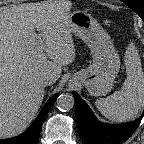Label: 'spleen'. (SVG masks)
I'll return each instance as SVG.
<instances>
[{
  "mask_svg": "<svg viewBox=\"0 0 144 144\" xmlns=\"http://www.w3.org/2000/svg\"><path fill=\"white\" fill-rule=\"evenodd\" d=\"M126 73L121 90L95 102L100 113L113 122L134 118L144 106V76L137 56L127 63Z\"/></svg>",
  "mask_w": 144,
  "mask_h": 144,
  "instance_id": "spleen-1",
  "label": "spleen"
}]
</instances>
